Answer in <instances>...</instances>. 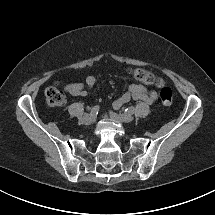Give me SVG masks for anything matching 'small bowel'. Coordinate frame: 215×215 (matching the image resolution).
Wrapping results in <instances>:
<instances>
[{"label": "small bowel", "mask_w": 215, "mask_h": 215, "mask_svg": "<svg viewBox=\"0 0 215 215\" xmlns=\"http://www.w3.org/2000/svg\"><path fill=\"white\" fill-rule=\"evenodd\" d=\"M95 83V76L87 75L85 77V84L71 83L66 86L65 90L72 96L84 97L88 94L86 87L93 88ZM131 99L140 100L147 104H153L157 99V93L155 91H148L144 86L140 84L132 83L129 85L127 92L114 101L113 107L115 109H119Z\"/></svg>", "instance_id": "c3829d8e"}]
</instances>
